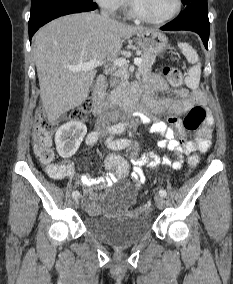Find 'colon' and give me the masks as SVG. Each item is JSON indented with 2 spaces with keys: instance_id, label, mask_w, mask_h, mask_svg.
Instances as JSON below:
<instances>
[{
  "instance_id": "colon-1",
  "label": "colon",
  "mask_w": 233,
  "mask_h": 284,
  "mask_svg": "<svg viewBox=\"0 0 233 284\" xmlns=\"http://www.w3.org/2000/svg\"><path fill=\"white\" fill-rule=\"evenodd\" d=\"M168 82L172 86H180L182 84V73L174 67H166L163 70ZM93 104L90 100L85 101L81 106L74 109L70 116L74 121H84L91 112ZM206 120V111L201 105L193 106L186 114L183 125L188 131L197 130ZM56 130V124L48 119L43 109H39L36 114V122L34 126V151L38 159L43 164H49L54 158L52 149V135ZM199 157L190 155L188 164L192 167L198 165ZM106 167L109 169L116 179H123L129 173V165L118 155H111L106 160ZM141 211H151V205L144 203L140 207Z\"/></svg>"
}]
</instances>
